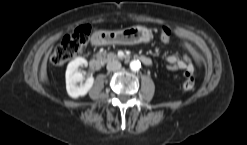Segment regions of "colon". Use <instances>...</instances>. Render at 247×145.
<instances>
[{"label":"colon","mask_w":247,"mask_h":145,"mask_svg":"<svg viewBox=\"0 0 247 145\" xmlns=\"http://www.w3.org/2000/svg\"><path fill=\"white\" fill-rule=\"evenodd\" d=\"M90 35L89 26H80L75 28L71 33L60 39L51 54V63L53 65H62L74 58L86 46ZM160 39L168 42L171 38V31L167 27L159 30ZM195 77L192 73L185 74L183 89L190 91L194 88Z\"/></svg>","instance_id":"5ec220e1"}]
</instances>
